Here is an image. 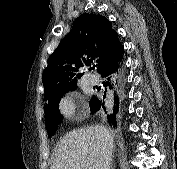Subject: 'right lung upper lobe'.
Listing matches in <instances>:
<instances>
[{
  "instance_id": "obj_1",
  "label": "right lung upper lobe",
  "mask_w": 177,
  "mask_h": 169,
  "mask_svg": "<svg viewBox=\"0 0 177 169\" xmlns=\"http://www.w3.org/2000/svg\"><path fill=\"white\" fill-rule=\"evenodd\" d=\"M123 45L110 21L101 15H80L72 31L64 37L43 72L44 100L49 103L76 87L84 73L79 68L98 64V72L122 60Z\"/></svg>"
}]
</instances>
